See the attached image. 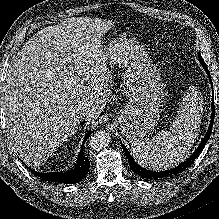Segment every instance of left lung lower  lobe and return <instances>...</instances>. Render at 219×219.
Returning <instances> with one entry per match:
<instances>
[{"instance_id": "obj_1", "label": "left lung lower lobe", "mask_w": 219, "mask_h": 219, "mask_svg": "<svg viewBox=\"0 0 219 219\" xmlns=\"http://www.w3.org/2000/svg\"><path fill=\"white\" fill-rule=\"evenodd\" d=\"M199 60L200 63L202 64L203 68H205V71L207 72V75L210 79V82H212L211 77H210V73L207 69V66L204 62V60L202 59V57L199 56ZM213 87V84H212ZM214 99L212 98V114H211V121L209 124V128L208 131L206 133V135L204 136L201 144L198 146V148L195 150V152L182 164H180L179 166L171 169V170H166V171H160V172H154V171H149L146 170L142 167H140L135 161L134 159L131 157V155L129 154L127 148L122 144L123 150L125 151L128 161H129V165L131 167V169L133 170L134 173H136L137 175H139L142 178H146V179H166L169 178L171 176L177 175L181 172H183L186 168H188L196 159V157L201 153V151L203 150V148L205 147L210 135H211V131H212V127H213V122H214Z\"/></svg>"}]
</instances>
